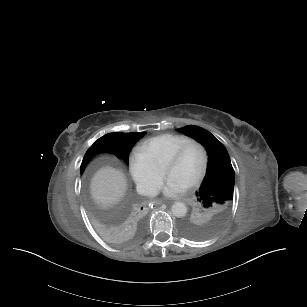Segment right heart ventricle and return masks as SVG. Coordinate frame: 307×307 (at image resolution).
<instances>
[{"instance_id":"obj_1","label":"right heart ventricle","mask_w":307,"mask_h":307,"mask_svg":"<svg viewBox=\"0 0 307 307\" xmlns=\"http://www.w3.org/2000/svg\"><path fill=\"white\" fill-rule=\"evenodd\" d=\"M192 139L191 136L180 133H166L156 138L142 140L137 144L148 147L158 161L164 160L173 154L183 143Z\"/></svg>"}]
</instances>
